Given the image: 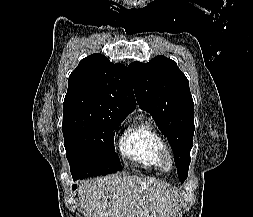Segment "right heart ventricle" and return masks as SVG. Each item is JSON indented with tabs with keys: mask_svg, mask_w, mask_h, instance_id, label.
Listing matches in <instances>:
<instances>
[{
	"mask_svg": "<svg viewBox=\"0 0 253 217\" xmlns=\"http://www.w3.org/2000/svg\"><path fill=\"white\" fill-rule=\"evenodd\" d=\"M160 135L149 121L129 127L119 141L122 155L146 169H160Z\"/></svg>",
	"mask_w": 253,
	"mask_h": 217,
	"instance_id": "obj_1",
	"label": "right heart ventricle"
}]
</instances>
